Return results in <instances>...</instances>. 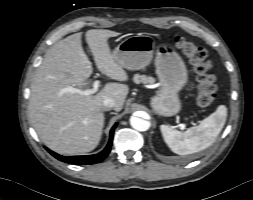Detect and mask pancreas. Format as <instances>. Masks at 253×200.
I'll list each match as a JSON object with an SVG mask.
<instances>
[{
  "label": "pancreas",
  "mask_w": 253,
  "mask_h": 200,
  "mask_svg": "<svg viewBox=\"0 0 253 200\" xmlns=\"http://www.w3.org/2000/svg\"><path fill=\"white\" fill-rule=\"evenodd\" d=\"M133 81L135 83L153 84L155 82V79L150 76L136 74L133 77Z\"/></svg>",
  "instance_id": "obj_1"
}]
</instances>
